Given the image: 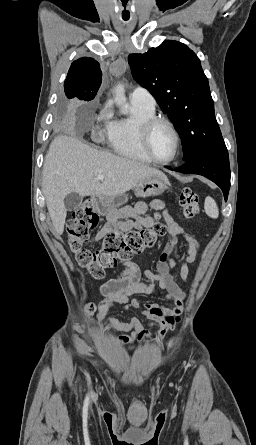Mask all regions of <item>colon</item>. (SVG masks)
<instances>
[{
    "label": "colon",
    "instance_id": "5ec220e1",
    "mask_svg": "<svg viewBox=\"0 0 256 445\" xmlns=\"http://www.w3.org/2000/svg\"><path fill=\"white\" fill-rule=\"evenodd\" d=\"M179 204L183 219L193 218L199 213L198 195L190 189L181 191ZM98 223L99 217L93 210V203L87 200L74 212L67 230L69 245L77 261L97 280L104 277L105 269L116 266L118 262L129 261L135 255L154 247L159 238L166 233V226L161 222L127 233L113 231L105 236L99 250L91 251L85 248V245L90 232L98 226ZM90 311H94L93 305Z\"/></svg>",
    "mask_w": 256,
    "mask_h": 445
}]
</instances>
